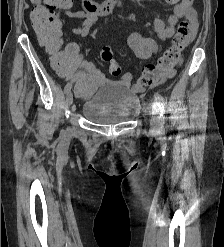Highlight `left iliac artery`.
I'll list each match as a JSON object with an SVG mask.
<instances>
[{
    "label": "left iliac artery",
    "mask_w": 224,
    "mask_h": 247,
    "mask_svg": "<svg viewBox=\"0 0 224 247\" xmlns=\"http://www.w3.org/2000/svg\"><path fill=\"white\" fill-rule=\"evenodd\" d=\"M159 110H160V116H159V130L160 132H164V123H165V100L163 96H161L159 93H155L154 95Z\"/></svg>",
    "instance_id": "1"
}]
</instances>
